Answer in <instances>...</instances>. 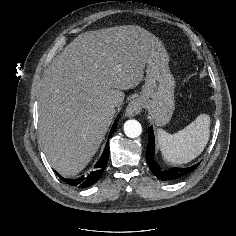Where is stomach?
<instances>
[{"mask_svg": "<svg viewBox=\"0 0 236 236\" xmlns=\"http://www.w3.org/2000/svg\"><path fill=\"white\" fill-rule=\"evenodd\" d=\"M168 63L167 51L156 48L147 59L145 84L138 97L157 126L169 123L175 109V81Z\"/></svg>", "mask_w": 236, "mask_h": 236, "instance_id": "stomach-1", "label": "stomach"}]
</instances>
